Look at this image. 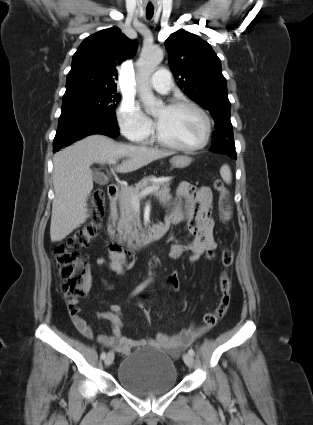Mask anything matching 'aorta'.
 <instances>
[{
    "mask_svg": "<svg viewBox=\"0 0 313 425\" xmlns=\"http://www.w3.org/2000/svg\"><path fill=\"white\" fill-rule=\"evenodd\" d=\"M162 60L163 51L158 47H152L143 50L137 61L139 97L151 110L162 104V101L154 96L149 86V79Z\"/></svg>",
    "mask_w": 313,
    "mask_h": 425,
    "instance_id": "1",
    "label": "aorta"
}]
</instances>
